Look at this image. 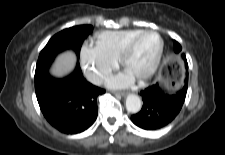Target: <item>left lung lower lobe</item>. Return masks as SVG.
Listing matches in <instances>:
<instances>
[{
    "instance_id": "0a47b994",
    "label": "left lung lower lobe",
    "mask_w": 225,
    "mask_h": 155,
    "mask_svg": "<svg viewBox=\"0 0 225 155\" xmlns=\"http://www.w3.org/2000/svg\"><path fill=\"white\" fill-rule=\"evenodd\" d=\"M188 81L175 93L164 92L158 84L141 91L143 106L132 115V122L145 130H156L169 124L180 112L185 101Z\"/></svg>"
}]
</instances>
